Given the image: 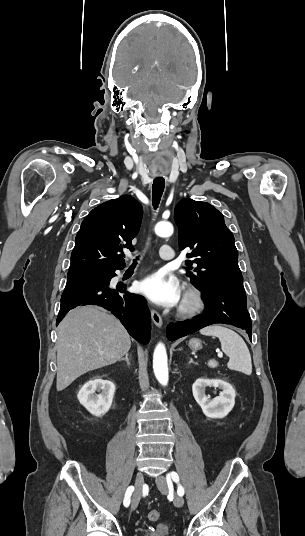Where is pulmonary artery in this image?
Listing matches in <instances>:
<instances>
[{"mask_svg":"<svg viewBox=\"0 0 305 536\" xmlns=\"http://www.w3.org/2000/svg\"><path fill=\"white\" fill-rule=\"evenodd\" d=\"M172 248L168 244H164L160 248L161 258L166 261L173 262L175 260V257L172 254Z\"/></svg>","mask_w":305,"mask_h":536,"instance_id":"1","label":"pulmonary artery"}]
</instances>
